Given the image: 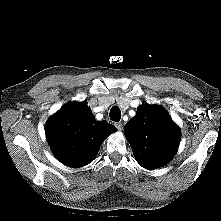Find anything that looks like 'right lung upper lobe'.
I'll use <instances>...</instances> for the list:
<instances>
[{"label":"right lung upper lobe","mask_w":221,"mask_h":221,"mask_svg":"<svg viewBox=\"0 0 221 221\" xmlns=\"http://www.w3.org/2000/svg\"><path fill=\"white\" fill-rule=\"evenodd\" d=\"M96 121L86 102H70L48 120L46 137L55 156L70 167H83L96 156L104 139L116 131Z\"/></svg>","instance_id":"right-lung-upper-lobe-1"}]
</instances>
